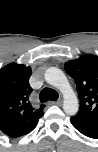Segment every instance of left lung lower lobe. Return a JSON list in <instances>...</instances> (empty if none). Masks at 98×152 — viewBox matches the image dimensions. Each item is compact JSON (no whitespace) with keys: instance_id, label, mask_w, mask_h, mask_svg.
Here are the masks:
<instances>
[{"instance_id":"1","label":"left lung lower lobe","mask_w":98,"mask_h":152,"mask_svg":"<svg viewBox=\"0 0 98 152\" xmlns=\"http://www.w3.org/2000/svg\"><path fill=\"white\" fill-rule=\"evenodd\" d=\"M71 124L83 135L90 138H98V126L82 121L75 120L73 118L70 119Z\"/></svg>"}]
</instances>
